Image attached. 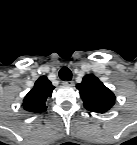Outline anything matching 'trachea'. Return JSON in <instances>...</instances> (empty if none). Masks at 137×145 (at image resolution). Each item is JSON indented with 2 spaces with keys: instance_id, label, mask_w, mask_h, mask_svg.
Segmentation results:
<instances>
[{
  "instance_id": "obj_1",
  "label": "trachea",
  "mask_w": 137,
  "mask_h": 145,
  "mask_svg": "<svg viewBox=\"0 0 137 145\" xmlns=\"http://www.w3.org/2000/svg\"><path fill=\"white\" fill-rule=\"evenodd\" d=\"M59 77L61 80H71L72 72L68 67H62L59 71Z\"/></svg>"
}]
</instances>
